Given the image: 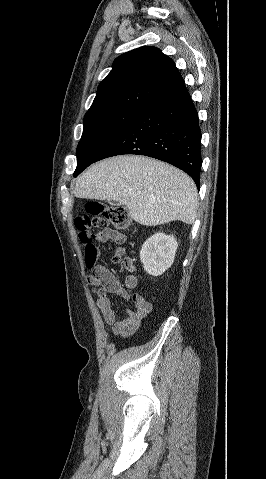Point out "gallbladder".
I'll return each instance as SVG.
<instances>
[{"label": "gallbladder", "instance_id": "bac80fb5", "mask_svg": "<svg viewBox=\"0 0 266 479\" xmlns=\"http://www.w3.org/2000/svg\"><path fill=\"white\" fill-rule=\"evenodd\" d=\"M107 202L111 205H116V206L121 204L120 202H118L116 200H113V199H107Z\"/></svg>", "mask_w": 266, "mask_h": 479}]
</instances>
